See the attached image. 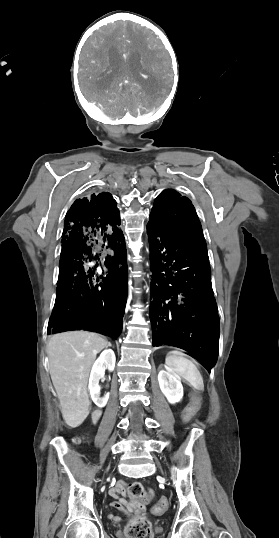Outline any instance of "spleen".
Returning <instances> with one entry per match:
<instances>
[{"label": "spleen", "instance_id": "obj_1", "mask_svg": "<svg viewBox=\"0 0 279 538\" xmlns=\"http://www.w3.org/2000/svg\"><path fill=\"white\" fill-rule=\"evenodd\" d=\"M165 364L174 374L186 378L187 383L194 388L193 392L195 394H202L204 392L203 379H201L200 372H198L191 360H187L186 354H182L178 350H173V352L167 354Z\"/></svg>", "mask_w": 279, "mask_h": 538}]
</instances>
